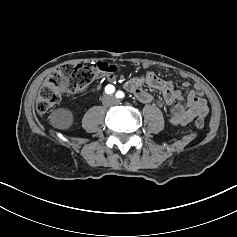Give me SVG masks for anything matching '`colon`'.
Returning <instances> with one entry per match:
<instances>
[{
  "label": "colon",
  "mask_w": 237,
  "mask_h": 237,
  "mask_svg": "<svg viewBox=\"0 0 237 237\" xmlns=\"http://www.w3.org/2000/svg\"><path fill=\"white\" fill-rule=\"evenodd\" d=\"M118 67L114 64L99 61L92 67L65 64L53 70L39 90L36 109L39 113L48 111L57 105L64 92H77L87 87L97 77H114ZM203 117L195 120V126L203 129Z\"/></svg>",
  "instance_id": "5ec220e1"
}]
</instances>
